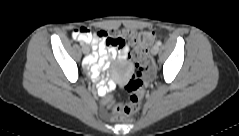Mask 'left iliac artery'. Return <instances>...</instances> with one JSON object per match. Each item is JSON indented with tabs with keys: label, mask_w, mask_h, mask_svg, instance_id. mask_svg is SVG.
<instances>
[{
	"label": "left iliac artery",
	"mask_w": 239,
	"mask_h": 136,
	"mask_svg": "<svg viewBox=\"0 0 239 136\" xmlns=\"http://www.w3.org/2000/svg\"><path fill=\"white\" fill-rule=\"evenodd\" d=\"M156 44H157L158 46H160V45L162 44V42H161V41H158Z\"/></svg>",
	"instance_id": "44dca946"
}]
</instances>
